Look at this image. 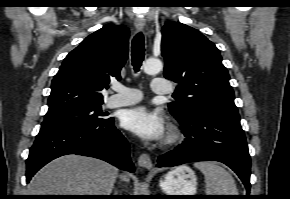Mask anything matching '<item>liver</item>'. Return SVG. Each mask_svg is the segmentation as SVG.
Here are the masks:
<instances>
[{
    "label": "liver",
    "mask_w": 290,
    "mask_h": 199,
    "mask_svg": "<svg viewBox=\"0 0 290 199\" xmlns=\"http://www.w3.org/2000/svg\"><path fill=\"white\" fill-rule=\"evenodd\" d=\"M118 170L95 158L66 155L44 166L30 181V195H111ZM129 181L127 175L121 176Z\"/></svg>",
    "instance_id": "obj_1"
}]
</instances>
